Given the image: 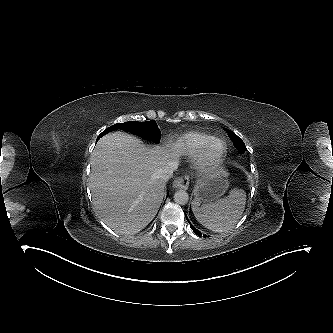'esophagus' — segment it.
Wrapping results in <instances>:
<instances>
[{
    "label": "esophagus",
    "mask_w": 333,
    "mask_h": 333,
    "mask_svg": "<svg viewBox=\"0 0 333 333\" xmlns=\"http://www.w3.org/2000/svg\"><path fill=\"white\" fill-rule=\"evenodd\" d=\"M189 176L183 175L176 180L173 181V187L177 189H184L186 190L189 186Z\"/></svg>",
    "instance_id": "esophagus-1"
}]
</instances>
